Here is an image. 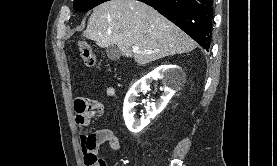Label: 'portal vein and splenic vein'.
Instances as JSON below:
<instances>
[{
    "instance_id": "1",
    "label": "portal vein and splenic vein",
    "mask_w": 277,
    "mask_h": 166,
    "mask_svg": "<svg viewBox=\"0 0 277 166\" xmlns=\"http://www.w3.org/2000/svg\"><path fill=\"white\" fill-rule=\"evenodd\" d=\"M133 53H139L138 49L136 47L132 48Z\"/></svg>"
}]
</instances>
